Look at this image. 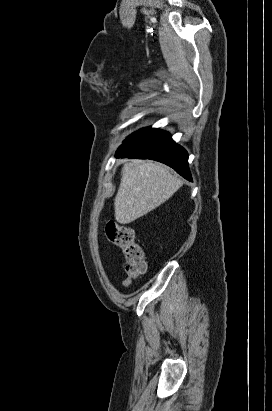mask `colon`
I'll return each mask as SVG.
<instances>
[{"label": "colon", "instance_id": "obj_1", "mask_svg": "<svg viewBox=\"0 0 272 411\" xmlns=\"http://www.w3.org/2000/svg\"><path fill=\"white\" fill-rule=\"evenodd\" d=\"M106 235L111 243L120 247L124 252V283L130 285L146 270L144 250L137 242L134 230L129 226L110 221L106 225Z\"/></svg>", "mask_w": 272, "mask_h": 411}]
</instances>
